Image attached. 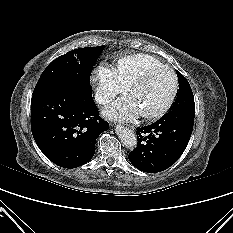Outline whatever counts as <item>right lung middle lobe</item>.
I'll list each match as a JSON object with an SVG mask.
<instances>
[{
  "mask_svg": "<svg viewBox=\"0 0 233 233\" xmlns=\"http://www.w3.org/2000/svg\"><path fill=\"white\" fill-rule=\"evenodd\" d=\"M104 46L79 48L59 56L42 72L33 95L59 87L74 79L90 82L93 66Z\"/></svg>",
  "mask_w": 233,
  "mask_h": 233,
  "instance_id": "obj_1",
  "label": "right lung middle lobe"
}]
</instances>
